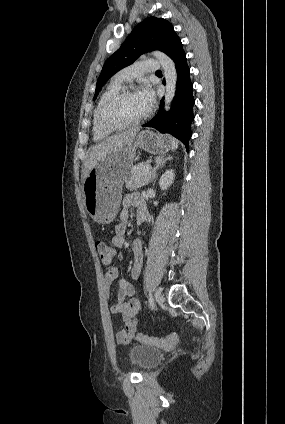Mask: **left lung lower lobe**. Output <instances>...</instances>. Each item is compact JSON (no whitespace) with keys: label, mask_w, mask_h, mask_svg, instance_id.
Returning <instances> with one entry per match:
<instances>
[{"label":"left lung lower lobe","mask_w":285,"mask_h":424,"mask_svg":"<svg viewBox=\"0 0 285 424\" xmlns=\"http://www.w3.org/2000/svg\"><path fill=\"white\" fill-rule=\"evenodd\" d=\"M168 56L174 61L177 71L176 92L168 112L164 110V98L156 116L143 127H152L161 133H169L182 141L187 151L191 138V122L194 119L193 83L190 79V69L187 65L186 54L180 39H177ZM165 83V81H164Z\"/></svg>","instance_id":"0a47b994"}]
</instances>
